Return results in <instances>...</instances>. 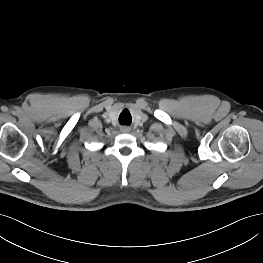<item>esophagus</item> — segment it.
Listing matches in <instances>:
<instances>
[{"mask_svg":"<svg viewBox=\"0 0 263 263\" xmlns=\"http://www.w3.org/2000/svg\"><path fill=\"white\" fill-rule=\"evenodd\" d=\"M130 131V128L128 127H121V132L128 133Z\"/></svg>","mask_w":263,"mask_h":263,"instance_id":"esophagus-1","label":"esophagus"}]
</instances>
